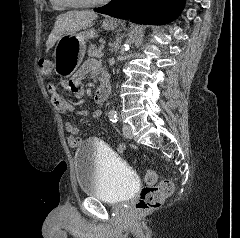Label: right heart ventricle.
<instances>
[{"mask_svg": "<svg viewBox=\"0 0 240 238\" xmlns=\"http://www.w3.org/2000/svg\"><path fill=\"white\" fill-rule=\"evenodd\" d=\"M50 2H51L54 6L72 7V6L68 5V1H67V0H50Z\"/></svg>", "mask_w": 240, "mask_h": 238, "instance_id": "e07e8e85", "label": "right heart ventricle"}]
</instances>
